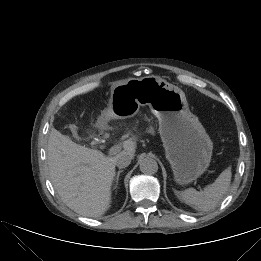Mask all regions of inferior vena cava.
<instances>
[{"mask_svg":"<svg viewBox=\"0 0 261 261\" xmlns=\"http://www.w3.org/2000/svg\"><path fill=\"white\" fill-rule=\"evenodd\" d=\"M131 156L128 155L127 153L123 152L120 153L116 156V165L119 168H125L127 166H129V164L131 163Z\"/></svg>","mask_w":261,"mask_h":261,"instance_id":"602c4592","label":"inferior vena cava"}]
</instances>
